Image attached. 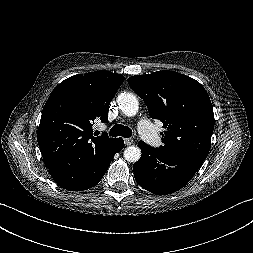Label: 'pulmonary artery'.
Returning a JSON list of instances; mask_svg holds the SVG:
<instances>
[{"label": "pulmonary artery", "mask_w": 253, "mask_h": 253, "mask_svg": "<svg viewBox=\"0 0 253 253\" xmlns=\"http://www.w3.org/2000/svg\"><path fill=\"white\" fill-rule=\"evenodd\" d=\"M138 132L149 143L152 144L158 143V136L154 130V127L148 120L142 119L139 121Z\"/></svg>", "instance_id": "1"}]
</instances>
